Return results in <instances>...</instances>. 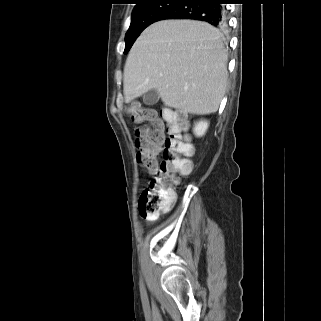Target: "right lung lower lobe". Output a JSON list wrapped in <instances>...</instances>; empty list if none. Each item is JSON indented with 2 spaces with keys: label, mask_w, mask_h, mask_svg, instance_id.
<instances>
[{
  "label": "right lung lower lobe",
  "mask_w": 321,
  "mask_h": 321,
  "mask_svg": "<svg viewBox=\"0 0 321 321\" xmlns=\"http://www.w3.org/2000/svg\"><path fill=\"white\" fill-rule=\"evenodd\" d=\"M226 0H180L159 16L158 21L165 19H193L208 22L223 28L226 25V9L222 5Z\"/></svg>",
  "instance_id": "right-lung-lower-lobe-1"
}]
</instances>
